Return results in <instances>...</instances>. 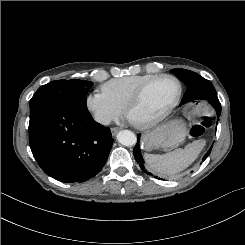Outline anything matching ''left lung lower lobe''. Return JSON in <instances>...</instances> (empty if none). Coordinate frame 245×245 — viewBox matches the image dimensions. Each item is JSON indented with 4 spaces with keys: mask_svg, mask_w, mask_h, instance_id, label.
Listing matches in <instances>:
<instances>
[{
    "mask_svg": "<svg viewBox=\"0 0 245 245\" xmlns=\"http://www.w3.org/2000/svg\"><path fill=\"white\" fill-rule=\"evenodd\" d=\"M208 102L215 108L216 110V114H217V117L220 116L221 114V106H220V102L218 100V98H211V99H208ZM138 137V142L136 144V146L134 147V157L137 161V163L140 164V167L141 169L146 172L148 175H150L149 172H147L143 166V163H144V160L142 158V155H141V150H140V134L137 136ZM211 149H212V146L211 148L209 149V151L205 154V156L203 157V161L209 156L210 152H211Z\"/></svg>",
    "mask_w": 245,
    "mask_h": 245,
    "instance_id": "left-lung-lower-lobe-1",
    "label": "left lung lower lobe"
}]
</instances>
